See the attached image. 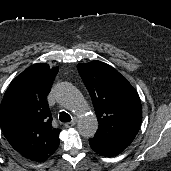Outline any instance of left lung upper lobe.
I'll return each mask as SVG.
<instances>
[{"mask_svg": "<svg viewBox=\"0 0 171 171\" xmlns=\"http://www.w3.org/2000/svg\"><path fill=\"white\" fill-rule=\"evenodd\" d=\"M77 69L92 98L99 122L94 137L124 150L134 140L142 121L138 93L106 63H80Z\"/></svg>", "mask_w": 171, "mask_h": 171, "instance_id": "5c2ea615", "label": "left lung upper lobe"}]
</instances>
